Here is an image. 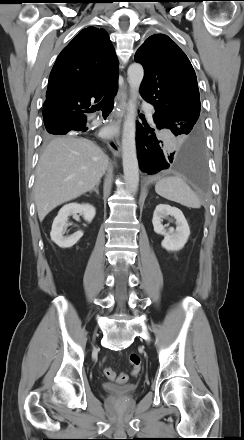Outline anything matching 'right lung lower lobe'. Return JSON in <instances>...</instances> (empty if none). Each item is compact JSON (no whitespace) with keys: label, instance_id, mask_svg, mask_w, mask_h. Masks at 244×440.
I'll return each instance as SVG.
<instances>
[{"label":"right lung lower lobe","instance_id":"right-lung-lower-lobe-1","mask_svg":"<svg viewBox=\"0 0 244 440\" xmlns=\"http://www.w3.org/2000/svg\"><path fill=\"white\" fill-rule=\"evenodd\" d=\"M87 118L79 121H61V124H56L55 126H51L52 129L59 130L60 135L67 134L69 131H81L84 132L87 130L86 126Z\"/></svg>","mask_w":244,"mask_h":440}]
</instances>
